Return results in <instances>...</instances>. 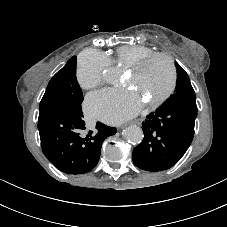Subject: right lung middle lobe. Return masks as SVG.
I'll return each instance as SVG.
<instances>
[{
    "label": "right lung middle lobe",
    "instance_id": "obj_1",
    "mask_svg": "<svg viewBox=\"0 0 227 227\" xmlns=\"http://www.w3.org/2000/svg\"><path fill=\"white\" fill-rule=\"evenodd\" d=\"M83 94L76 79L73 56L49 81L39 105V120L62 110L82 111Z\"/></svg>",
    "mask_w": 227,
    "mask_h": 227
}]
</instances>
